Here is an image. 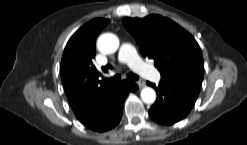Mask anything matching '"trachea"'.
<instances>
[{
    "label": "trachea",
    "mask_w": 247,
    "mask_h": 145,
    "mask_svg": "<svg viewBox=\"0 0 247 145\" xmlns=\"http://www.w3.org/2000/svg\"><path fill=\"white\" fill-rule=\"evenodd\" d=\"M128 79L132 80V81H136L139 79V77L134 74V73H129L127 75ZM108 81H110L111 83H118L121 80V76L120 75H115L114 77H111L109 79H107Z\"/></svg>",
    "instance_id": "1"
}]
</instances>
